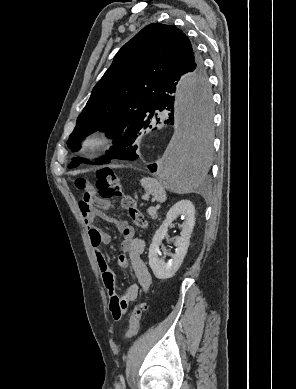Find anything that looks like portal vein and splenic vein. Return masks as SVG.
Returning a JSON list of instances; mask_svg holds the SVG:
<instances>
[{
    "instance_id": "1",
    "label": "portal vein and splenic vein",
    "mask_w": 296,
    "mask_h": 389,
    "mask_svg": "<svg viewBox=\"0 0 296 389\" xmlns=\"http://www.w3.org/2000/svg\"><path fill=\"white\" fill-rule=\"evenodd\" d=\"M143 198H145V197H143ZM154 213H155L154 211L149 212L150 215H153Z\"/></svg>"
}]
</instances>
